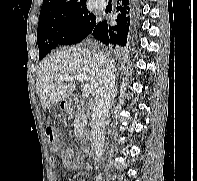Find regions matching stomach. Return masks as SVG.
Here are the masks:
<instances>
[{
  "instance_id": "0dacf381",
  "label": "stomach",
  "mask_w": 197,
  "mask_h": 181,
  "mask_svg": "<svg viewBox=\"0 0 197 181\" xmlns=\"http://www.w3.org/2000/svg\"><path fill=\"white\" fill-rule=\"evenodd\" d=\"M61 105L63 106V108H67L68 107V102L66 100L62 101Z\"/></svg>"
}]
</instances>
